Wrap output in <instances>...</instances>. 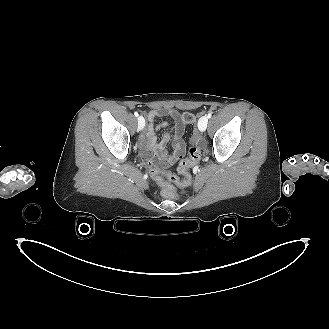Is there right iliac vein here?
Returning <instances> with one entry per match:
<instances>
[{"label": "right iliac vein", "instance_id": "obj_1", "mask_svg": "<svg viewBox=\"0 0 329 329\" xmlns=\"http://www.w3.org/2000/svg\"><path fill=\"white\" fill-rule=\"evenodd\" d=\"M145 126V119L142 116L138 117V129L142 130Z\"/></svg>", "mask_w": 329, "mask_h": 329}]
</instances>
